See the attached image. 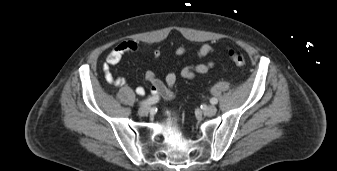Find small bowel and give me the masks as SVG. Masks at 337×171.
Instances as JSON below:
<instances>
[{"label": "small bowel", "mask_w": 337, "mask_h": 171, "mask_svg": "<svg viewBox=\"0 0 337 171\" xmlns=\"http://www.w3.org/2000/svg\"><path fill=\"white\" fill-rule=\"evenodd\" d=\"M139 49L138 44L132 40L122 41L117 44L107 55L105 62L102 65V70L105 74V79L107 82L114 84L116 86H125L126 79L123 76H115L111 67L117 65L123 56L126 53H135ZM186 53V48L184 46H179L175 49L174 55L176 57H181ZM214 54V48L209 44L202 45L197 50V57L203 58L209 55ZM161 56V51L159 49H155L152 53V57L154 60L159 59ZM214 61L210 60L203 64L197 65H188L183 67L179 75L184 79H194L198 76H205L209 73V71L213 68ZM145 80L150 84L151 93L160 97L164 100H172L174 97V86L177 82L178 74L174 71L169 72L165 77V82L160 80L157 75L151 71H146ZM136 94L139 96H143L145 94V89L143 87H137L135 90Z\"/></svg>", "instance_id": "c3829d8e"}]
</instances>
